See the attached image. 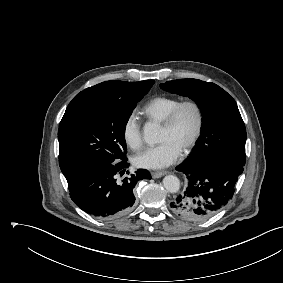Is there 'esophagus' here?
<instances>
[{
  "mask_svg": "<svg viewBox=\"0 0 283 283\" xmlns=\"http://www.w3.org/2000/svg\"><path fill=\"white\" fill-rule=\"evenodd\" d=\"M167 172L166 171H157V172H152L151 175L153 178H160L164 176Z\"/></svg>",
  "mask_w": 283,
  "mask_h": 283,
  "instance_id": "1",
  "label": "esophagus"
}]
</instances>
